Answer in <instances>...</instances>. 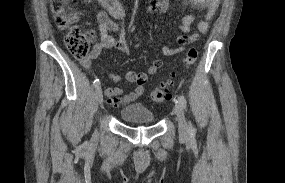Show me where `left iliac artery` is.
<instances>
[{
  "label": "left iliac artery",
  "mask_w": 285,
  "mask_h": 183,
  "mask_svg": "<svg viewBox=\"0 0 285 183\" xmlns=\"http://www.w3.org/2000/svg\"><path fill=\"white\" fill-rule=\"evenodd\" d=\"M178 102H179L184 108H186V106H187V101H186V99H185L184 96H182V95L178 96ZM189 132H190L191 135H194L195 132H196V130H195V128L193 127V125H192L191 122H189Z\"/></svg>",
  "instance_id": "obj_1"
}]
</instances>
